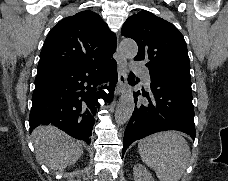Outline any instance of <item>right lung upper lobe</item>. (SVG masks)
<instances>
[{"label":"right lung upper lobe","instance_id":"right-lung-upper-lobe-1","mask_svg":"<svg viewBox=\"0 0 228 181\" xmlns=\"http://www.w3.org/2000/svg\"><path fill=\"white\" fill-rule=\"evenodd\" d=\"M116 50V37L101 17L90 10L61 20L49 32L37 74L98 61Z\"/></svg>","mask_w":228,"mask_h":181}]
</instances>
